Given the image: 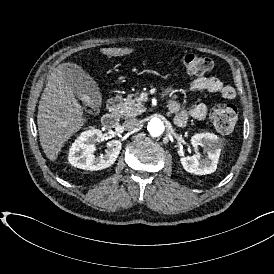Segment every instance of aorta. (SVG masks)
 <instances>
[{
	"mask_svg": "<svg viewBox=\"0 0 274 274\" xmlns=\"http://www.w3.org/2000/svg\"><path fill=\"white\" fill-rule=\"evenodd\" d=\"M147 129H148V132L150 133L151 136L158 137L165 130L164 122H163L162 119H160L158 117H153L148 122Z\"/></svg>",
	"mask_w": 274,
	"mask_h": 274,
	"instance_id": "762f6f07",
	"label": "aorta"
}]
</instances>
